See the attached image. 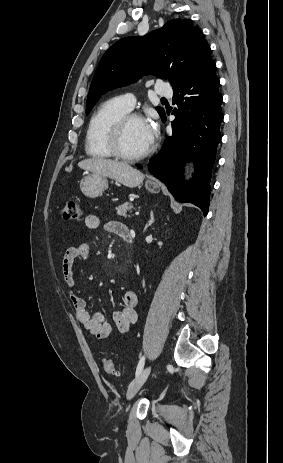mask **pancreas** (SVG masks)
I'll list each match as a JSON object with an SVG mask.
<instances>
[{"label": "pancreas", "instance_id": "pancreas-1", "mask_svg": "<svg viewBox=\"0 0 283 463\" xmlns=\"http://www.w3.org/2000/svg\"><path fill=\"white\" fill-rule=\"evenodd\" d=\"M132 209H133V205L129 202H125L124 204H121L118 207H116L117 214L125 218L131 217V215L128 213H131Z\"/></svg>", "mask_w": 283, "mask_h": 463}]
</instances>
